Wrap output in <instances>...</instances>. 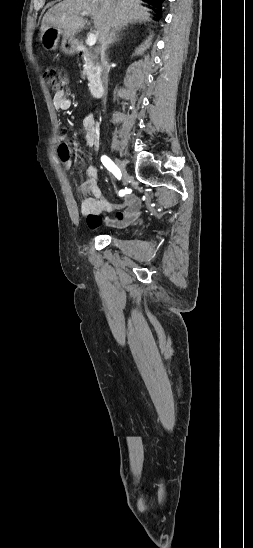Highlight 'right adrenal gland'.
I'll use <instances>...</instances> for the list:
<instances>
[{"label":"right adrenal gland","instance_id":"obj_1","mask_svg":"<svg viewBox=\"0 0 253 548\" xmlns=\"http://www.w3.org/2000/svg\"><path fill=\"white\" fill-rule=\"evenodd\" d=\"M119 33H120V30L117 31V30H112L110 32V35H109V38L107 40V45H106V49H108L110 47L111 44L117 42V41H120L121 38L119 37Z\"/></svg>","mask_w":253,"mask_h":548}]
</instances>
